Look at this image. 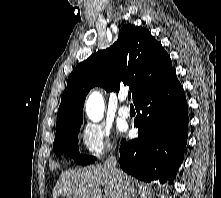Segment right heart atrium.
Returning a JSON list of instances; mask_svg holds the SVG:
<instances>
[{"label":"right heart atrium","instance_id":"right-heart-atrium-1","mask_svg":"<svg viewBox=\"0 0 221 198\" xmlns=\"http://www.w3.org/2000/svg\"><path fill=\"white\" fill-rule=\"evenodd\" d=\"M81 144L89 157L97 158L113 150L111 131L100 124H86L80 132Z\"/></svg>","mask_w":221,"mask_h":198}]
</instances>
